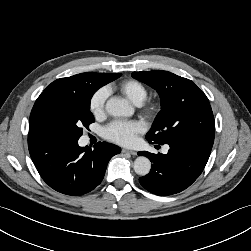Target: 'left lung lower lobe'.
I'll use <instances>...</instances> for the list:
<instances>
[{
  "label": "left lung lower lobe",
  "mask_w": 251,
  "mask_h": 251,
  "mask_svg": "<svg viewBox=\"0 0 251 251\" xmlns=\"http://www.w3.org/2000/svg\"><path fill=\"white\" fill-rule=\"evenodd\" d=\"M213 142L214 136H193L167 143L170 149L165 155L138 152L152 162L150 173L139 179L140 184L149 192L161 196L185 190L202 173Z\"/></svg>",
  "instance_id": "left-lung-lower-lobe-1"
}]
</instances>
